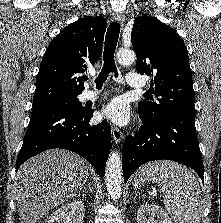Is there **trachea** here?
Returning <instances> with one entry per match:
<instances>
[{"label": "trachea", "mask_w": 221, "mask_h": 223, "mask_svg": "<svg viewBox=\"0 0 221 223\" xmlns=\"http://www.w3.org/2000/svg\"><path fill=\"white\" fill-rule=\"evenodd\" d=\"M120 33V24L118 22H112L107 30L105 37V46L103 53L104 66L95 79V83L97 87H101L103 83L107 80L109 73H115V76L118 77L117 69L114 61V53L116 49V45L118 42Z\"/></svg>", "instance_id": "3493384b"}]
</instances>
